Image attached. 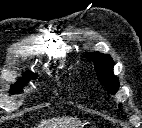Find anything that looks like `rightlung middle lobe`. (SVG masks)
Masks as SVG:
<instances>
[{
  "mask_svg": "<svg viewBox=\"0 0 142 128\" xmlns=\"http://www.w3.org/2000/svg\"><path fill=\"white\" fill-rule=\"evenodd\" d=\"M33 76H34V74L29 72L28 75L22 79V82L28 81V80H29L30 78H32ZM12 89H13V90H12L11 92H13V93H18V92H20V86H19V85H14V86H12Z\"/></svg>",
  "mask_w": 142,
  "mask_h": 128,
  "instance_id": "1",
  "label": "right lung middle lobe"
}]
</instances>
